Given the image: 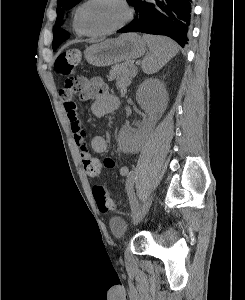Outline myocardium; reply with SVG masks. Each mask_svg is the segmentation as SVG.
<instances>
[{
  "label": "myocardium",
  "instance_id": "1",
  "mask_svg": "<svg viewBox=\"0 0 245 300\" xmlns=\"http://www.w3.org/2000/svg\"><path fill=\"white\" fill-rule=\"evenodd\" d=\"M95 0H85L76 10V23L82 33L88 35V36H94V37H100V36H106L109 35L113 32H116L117 30L123 28L125 25H127L132 17H133V9L131 5L129 4L128 0H117V2L123 7L125 11L124 18L122 19L121 22H119L117 25L103 30V31H98V32H91L85 29L82 23V12L85 9L86 6H88L90 3L94 2Z\"/></svg>",
  "mask_w": 245,
  "mask_h": 300
}]
</instances>
